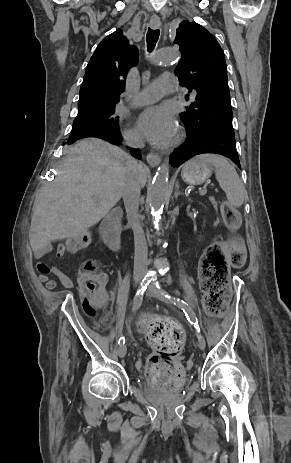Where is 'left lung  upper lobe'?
Listing matches in <instances>:
<instances>
[{
	"mask_svg": "<svg viewBox=\"0 0 291 463\" xmlns=\"http://www.w3.org/2000/svg\"><path fill=\"white\" fill-rule=\"evenodd\" d=\"M174 43L182 52L175 74L191 93L186 100L193 101L180 114L184 124L234 135L227 66L219 43L204 27L188 21L179 24Z\"/></svg>",
	"mask_w": 291,
	"mask_h": 463,
	"instance_id": "obj_1",
	"label": "left lung upper lobe"
}]
</instances>
